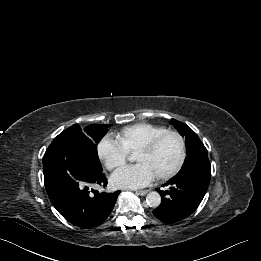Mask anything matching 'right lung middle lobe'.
Here are the masks:
<instances>
[{
  "instance_id": "dd1d6c3e",
  "label": "right lung middle lobe",
  "mask_w": 261,
  "mask_h": 261,
  "mask_svg": "<svg viewBox=\"0 0 261 261\" xmlns=\"http://www.w3.org/2000/svg\"><path fill=\"white\" fill-rule=\"evenodd\" d=\"M106 125H90L84 131L75 124L61 132L50 144L43 157V168H51L65 164L71 151L75 150V142H79L84 150L87 163L102 169L97 154V143L107 132Z\"/></svg>"
}]
</instances>
